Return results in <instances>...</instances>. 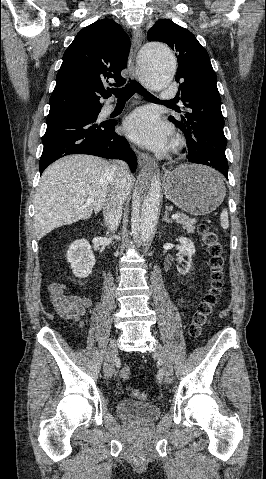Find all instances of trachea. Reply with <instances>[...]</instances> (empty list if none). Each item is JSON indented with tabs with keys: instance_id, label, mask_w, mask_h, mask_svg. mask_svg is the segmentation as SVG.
Returning <instances> with one entry per match:
<instances>
[{
	"instance_id": "trachea-1",
	"label": "trachea",
	"mask_w": 266,
	"mask_h": 479,
	"mask_svg": "<svg viewBox=\"0 0 266 479\" xmlns=\"http://www.w3.org/2000/svg\"><path fill=\"white\" fill-rule=\"evenodd\" d=\"M110 92L114 94L118 100H128L130 99L135 93L140 94L146 99L153 100L156 102H163L173 104V101H161L150 92H148L139 82L135 80H130V83L127 84L125 87L121 89H110Z\"/></svg>"
}]
</instances>
